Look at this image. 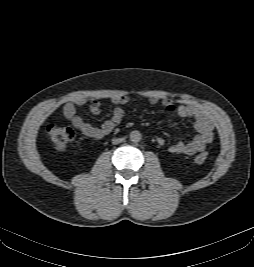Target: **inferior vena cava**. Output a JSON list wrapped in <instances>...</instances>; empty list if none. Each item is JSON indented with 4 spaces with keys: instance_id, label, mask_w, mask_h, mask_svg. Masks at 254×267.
Returning <instances> with one entry per match:
<instances>
[{
    "instance_id": "1",
    "label": "inferior vena cava",
    "mask_w": 254,
    "mask_h": 267,
    "mask_svg": "<svg viewBox=\"0 0 254 267\" xmlns=\"http://www.w3.org/2000/svg\"><path fill=\"white\" fill-rule=\"evenodd\" d=\"M123 141V139L122 138H117V139H113V144H118V143H120V142H122Z\"/></svg>"
}]
</instances>
